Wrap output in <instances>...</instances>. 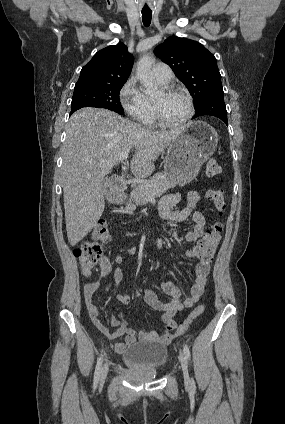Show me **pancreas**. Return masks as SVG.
<instances>
[{
    "label": "pancreas",
    "instance_id": "obj_1",
    "mask_svg": "<svg viewBox=\"0 0 285 424\" xmlns=\"http://www.w3.org/2000/svg\"><path fill=\"white\" fill-rule=\"evenodd\" d=\"M175 182L169 180L164 173H157L149 180L134 186L130 201L127 203L125 210L132 213L136 206L144 205L149 199L159 197L168 189L175 187Z\"/></svg>",
    "mask_w": 285,
    "mask_h": 424
}]
</instances>
